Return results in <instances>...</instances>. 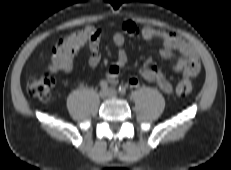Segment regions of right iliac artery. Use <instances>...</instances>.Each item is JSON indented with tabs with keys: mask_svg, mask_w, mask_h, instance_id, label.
<instances>
[{
	"mask_svg": "<svg viewBox=\"0 0 231 170\" xmlns=\"http://www.w3.org/2000/svg\"><path fill=\"white\" fill-rule=\"evenodd\" d=\"M100 87L102 88V89H107L108 88V83L106 82V81H101L100 82Z\"/></svg>",
	"mask_w": 231,
	"mask_h": 170,
	"instance_id": "right-iliac-artery-1",
	"label": "right iliac artery"
}]
</instances>
